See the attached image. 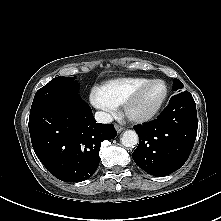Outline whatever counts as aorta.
Masks as SVG:
<instances>
[{"label": "aorta", "mask_w": 221, "mask_h": 221, "mask_svg": "<svg viewBox=\"0 0 221 221\" xmlns=\"http://www.w3.org/2000/svg\"><path fill=\"white\" fill-rule=\"evenodd\" d=\"M121 143L124 147H135L138 143V135L133 130H127L122 134Z\"/></svg>", "instance_id": "762f6f07"}]
</instances>
